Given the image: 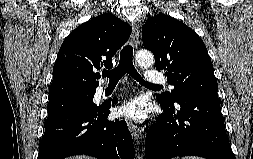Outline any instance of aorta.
<instances>
[{
	"label": "aorta",
	"instance_id": "762f6f07",
	"mask_svg": "<svg viewBox=\"0 0 253 159\" xmlns=\"http://www.w3.org/2000/svg\"><path fill=\"white\" fill-rule=\"evenodd\" d=\"M136 61L141 66L148 67L154 63V56L149 51H139L136 54Z\"/></svg>",
	"mask_w": 253,
	"mask_h": 159
}]
</instances>
